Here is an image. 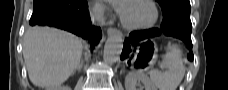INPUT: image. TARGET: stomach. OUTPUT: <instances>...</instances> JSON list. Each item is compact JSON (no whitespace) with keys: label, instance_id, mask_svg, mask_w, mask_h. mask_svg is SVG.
Instances as JSON below:
<instances>
[{"label":"stomach","instance_id":"obj_1","mask_svg":"<svg viewBox=\"0 0 228 90\" xmlns=\"http://www.w3.org/2000/svg\"><path fill=\"white\" fill-rule=\"evenodd\" d=\"M157 58V47L152 41L143 42V47L138 48L133 63L142 68H149L152 66Z\"/></svg>","mask_w":228,"mask_h":90}]
</instances>
